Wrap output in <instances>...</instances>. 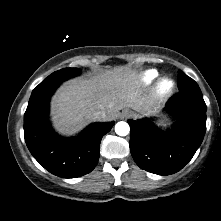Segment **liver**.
<instances>
[{"mask_svg": "<svg viewBox=\"0 0 221 221\" xmlns=\"http://www.w3.org/2000/svg\"><path fill=\"white\" fill-rule=\"evenodd\" d=\"M149 106L136 72L121 66L89 79L66 82L52 98L51 115L55 129L70 136L94 121L95 111H104V120L111 121L123 108L144 112Z\"/></svg>", "mask_w": 221, "mask_h": 221, "instance_id": "1", "label": "liver"}]
</instances>
